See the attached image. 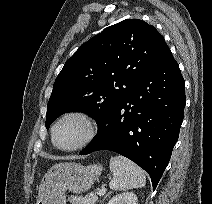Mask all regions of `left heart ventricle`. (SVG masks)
Wrapping results in <instances>:
<instances>
[{"instance_id": "1", "label": "left heart ventricle", "mask_w": 212, "mask_h": 204, "mask_svg": "<svg viewBox=\"0 0 212 204\" xmlns=\"http://www.w3.org/2000/svg\"><path fill=\"white\" fill-rule=\"evenodd\" d=\"M85 134V127L78 119H67L55 131V139L61 147H72L79 143Z\"/></svg>"}]
</instances>
